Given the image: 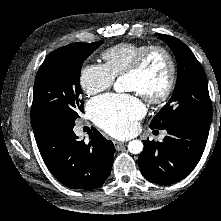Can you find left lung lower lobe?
<instances>
[{
    "mask_svg": "<svg viewBox=\"0 0 221 221\" xmlns=\"http://www.w3.org/2000/svg\"><path fill=\"white\" fill-rule=\"evenodd\" d=\"M210 123L182 121L166 128L162 142L146 140L138 159L145 178L153 183L173 184L184 179L199 162L209 134Z\"/></svg>",
    "mask_w": 221,
    "mask_h": 221,
    "instance_id": "left-lung-lower-lobe-1",
    "label": "left lung lower lobe"
}]
</instances>
